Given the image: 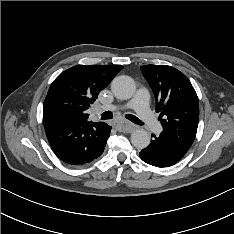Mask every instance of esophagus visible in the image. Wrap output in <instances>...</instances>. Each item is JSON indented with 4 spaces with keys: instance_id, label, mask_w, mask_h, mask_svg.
<instances>
[{
    "instance_id": "1",
    "label": "esophagus",
    "mask_w": 234,
    "mask_h": 234,
    "mask_svg": "<svg viewBox=\"0 0 234 234\" xmlns=\"http://www.w3.org/2000/svg\"><path fill=\"white\" fill-rule=\"evenodd\" d=\"M122 132H132L134 130V126L132 124L127 123L125 127L119 129Z\"/></svg>"
}]
</instances>
